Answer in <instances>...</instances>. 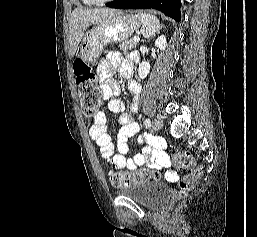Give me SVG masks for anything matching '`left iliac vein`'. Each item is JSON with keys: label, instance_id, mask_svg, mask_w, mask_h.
I'll return each instance as SVG.
<instances>
[{"label": "left iliac vein", "instance_id": "left-iliac-vein-1", "mask_svg": "<svg viewBox=\"0 0 257 237\" xmlns=\"http://www.w3.org/2000/svg\"><path fill=\"white\" fill-rule=\"evenodd\" d=\"M163 126V121L160 117H156L154 120H153V123H152V127L154 130L158 131L162 128Z\"/></svg>", "mask_w": 257, "mask_h": 237}]
</instances>
